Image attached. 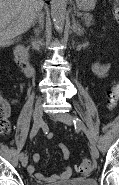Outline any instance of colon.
I'll use <instances>...</instances> for the list:
<instances>
[{
	"instance_id": "obj_1",
	"label": "colon",
	"mask_w": 119,
	"mask_h": 185,
	"mask_svg": "<svg viewBox=\"0 0 119 185\" xmlns=\"http://www.w3.org/2000/svg\"><path fill=\"white\" fill-rule=\"evenodd\" d=\"M113 15L116 20H119V8H115L113 10ZM119 100V83H115L110 91L108 96V107L110 110H114L117 106ZM10 131V122L8 119V116L4 112V108L2 103H0V133L1 134H7ZM77 172L82 175H88L93 172L94 170V164L92 161L86 159L83 160L78 166H77Z\"/></svg>"
}]
</instances>
